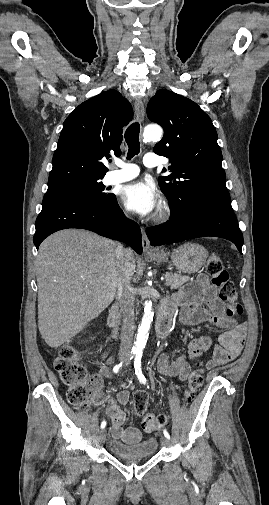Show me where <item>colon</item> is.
<instances>
[{"label": "colon", "mask_w": 269, "mask_h": 505, "mask_svg": "<svg viewBox=\"0 0 269 505\" xmlns=\"http://www.w3.org/2000/svg\"><path fill=\"white\" fill-rule=\"evenodd\" d=\"M206 273L211 282L219 289V297L228 303L227 316L229 318L243 313L242 306L236 301L237 292L234 283L230 280L223 261L217 254H212L206 263ZM201 363L190 373L187 388L184 394L185 402H190L203 383ZM54 369L61 382L67 386V401L79 411L86 412L90 409L91 397L95 392L97 382L88 378V373L80 361L79 353L75 347L64 346L54 360ZM148 396L143 391L136 392L134 396V410L137 415L144 416L143 429L147 432L158 431L166 422L164 415L146 413Z\"/></svg>", "instance_id": "5ec220e1"}]
</instances>
